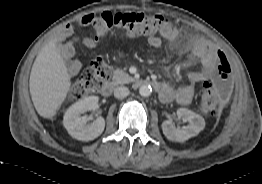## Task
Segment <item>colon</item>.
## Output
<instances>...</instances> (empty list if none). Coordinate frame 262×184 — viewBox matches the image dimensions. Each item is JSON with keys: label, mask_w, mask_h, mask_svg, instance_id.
Returning a JSON list of instances; mask_svg holds the SVG:
<instances>
[{"label": "colon", "mask_w": 262, "mask_h": 184, "mask_svg": "<svg viewBox=\"0 0 262 184\" xmlns=\"http://www.w3.org/2000/svg\"><path fill=\"white\" fill-rule=\"evenodd\" d=\"M83 25L94 28L97 38L119 33L127 38L156 36L171 28L169 20L161 15L144 13L88 14L81 19ZM109 61L98 56L84 68L71 87L70 98L83 99L99 91L111 76ZM217 75L212 81L204 82L200 89L199 108L208 116H215L227 102L232 90L231 67L223 52L217 51Z\"/></svg>", "instance_id": "obj_1"}]
</instances>
